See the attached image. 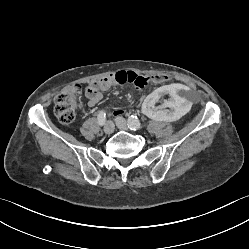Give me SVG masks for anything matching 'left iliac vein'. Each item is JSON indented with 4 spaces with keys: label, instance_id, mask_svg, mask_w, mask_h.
Here are the masks:
<instances>
[{
    "label": "left iliac vein",
    "instance_id": "left-iliac-vein-1",
    "mask_svg": "<svg viewBox=\"0 0 249 249\" xmlns=\"http://www.w3.org/2000/svg\"><path fill=\"white\" fill-rule=\"evenodd\" d=\"M115 122H116V125L119 129L124 130V131L128 130V127L126 125V121L124 118L118 116V117H116Z\"/></svg>",
    "mask_w": 249,
    "mask_h": 249
}]
</instances>
